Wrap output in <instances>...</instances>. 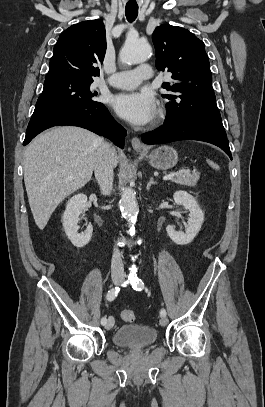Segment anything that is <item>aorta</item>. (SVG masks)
Returning a JSON list of instances; mask_svg holds the SVG:
<instances>
[{"instance_id": "762f6f07", "label": "aorta", "mask_w": 265, "mask_h": 407, "mask_svg": "<svg viewBox=\"0 0 265 407\" xmlns=\"http://www.w3.org/2000/svg\"><path fill=\"white\" fill-rule=\"evenodd\" d=\"M151 54L152 48L148 43L128 38L121 49L119 57L122 63L136 64L148 60ZM120 208L128 221L129 227L132 229L138 214V204L135 193L131 188L122 190Z\"/></svg>"}]
</instances>
